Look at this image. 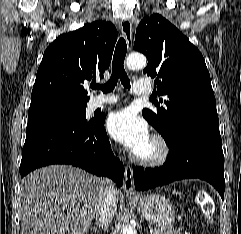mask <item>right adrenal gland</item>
<instances>
[{"mask_svg": "<svg viewBox=\"0 0 241 234\" xmlns=\"http://www.w3.org/2000/svg\"><path fill=\"white\" fill-rule=\"evenodd\" d=\"M90 230H94V232H96L98 229L96 226H92V227H90Z\"/></svg>", "mask_w": 241, "mask_h": 234, "instance_id": "right-adrenal-gland-1", "label": "right adrenal gland"}]
</instances>
